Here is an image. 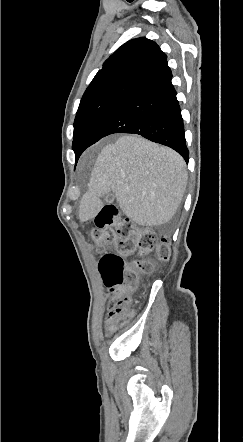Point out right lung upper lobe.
I'll return each mask as SVG.
<instances>
[{
    "label": "right lung upper lobe",
    "instance_id": "right-lung-upper-lobe-1",
    "mask_svg": "<svg viewBox=\"0 0 243 442\" xmlns=\"http://www.w3.org/2000/svg\"><path fill=\"white\" fill-rule=\"evenodd\" d=\"M167 56L145 37L123 44L103 64L81 101L112 92H131L169 69Z\"/></svg>",
    "mask_w": 243,
    "mask_h": 442
}]
</instances>
